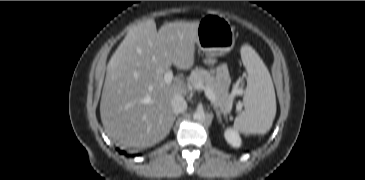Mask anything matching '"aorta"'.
<instances>
[{
  "mask_svg": "<svg viewBox=\"0 0 365 180\" xmlns=\"http://www.w3.org/2000/svg\"><path fill=\"white\" fill-rule=\"evenodd\" d=\"M193 119L198 122H203L206 119V114L203 110H197L193 114Z\"/></svg>",
  "mask_w": 365,
  "mask_h": 180,
  "instance_id": "1",
  "label": "aorta"
}]
</instances>
